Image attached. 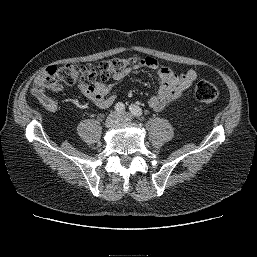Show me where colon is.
<instances>
[{
    "mask_svg": "<svg viewBox=\"0 0 257 257\" xmlns=\"http://www.w3.org/2000/svg\"><path fill=\"white\" fill-rule=\"evenodd\" d=\"M140 61L138 57H129L113 58L97 65L68 63L61 67L49 66L35 81L32 93L43 106L53 109L55 102L49 93L54 91L59 82L79 86L104 83L110 76L123 74ZM194 96L199 102L209 104L218 98V90L214 84L203 80L195 86Z\"/></svg>",
    "mask_w": 257,
    "mask_h": 257,
    "instance_id": "1",
    "label": "colon"
}]
</instances>
